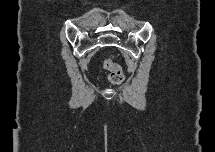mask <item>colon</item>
I'll list each match as a JSON object with an SVG mask.
<instances>
[{
    "instance_id": "1",
    "label": "colon",
    "mask_w": 215,
    "mask_h": 152,
    "mask_svg": "<svg viewBox=\"0 0 215 152\" xmlns=\"http://www.w3.org/2000/svg\"><path fill=\"white\" fill-rule=\"evenodd\" d=\"M103 67L109 72V81L114 86H119L124 81V73L120 65L113 62L111 59H106Z\"/></svg>"
}]
</instances>
